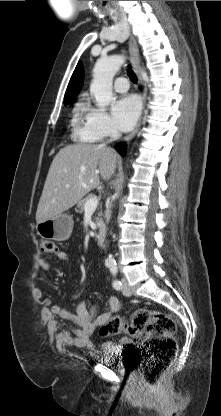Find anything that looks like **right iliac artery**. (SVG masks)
I'll use <instances>...</instances> for the list:
<instances>
[{
	"instance_id": "obj_1",
	"label": "right iliac artery",
	"mask_w": 221,
	"mask_h": 416,
	"mask_svg": "<svg viewBox=\"0 0 221 416\" xmlns=\"http://www.w3.org/2000/svg\"><path fill=\"white\" fill-rule=\"evenodd\" d=\"M111 265H112V264H108V263H107V266H108V267H110Z\"/></svg>"
}]
</instances>
